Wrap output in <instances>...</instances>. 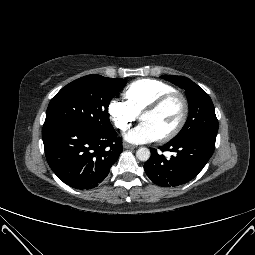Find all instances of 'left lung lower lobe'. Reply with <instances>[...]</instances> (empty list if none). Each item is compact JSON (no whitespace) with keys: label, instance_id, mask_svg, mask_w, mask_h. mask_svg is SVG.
<instances>
[{"label":"left lung lower lobe","instance_id":"left-lung-lower-lobe-1","mask_svg":"<svg viewBox=\"0 0 255 255\" xmlns=\"http://www.w3.org/2000/svg\"><path fill=\"white\" fill-rule=\"evenodd\" d=\"M214 148L215 143L206 140L170 141L159 149L162 152H175V156L166 159L151 148V157L144 164V170L151 181L159 186H179L193 179L203 169Z\"/></svg>","mask_w":255,"mask_h":255}]
</instances>
